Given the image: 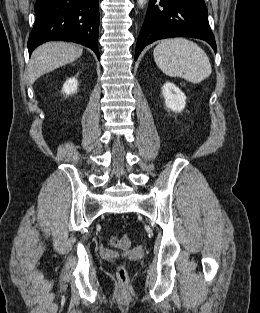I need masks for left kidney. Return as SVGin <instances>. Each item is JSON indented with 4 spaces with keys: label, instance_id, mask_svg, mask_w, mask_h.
<instances>
[{
    "label": "left kidney",
    "instance_id": "obj_1",
    "mask_svg": "<svg viewBox=\"0 0 260 313\" xmlns=\"http://www.w3.org/2000/svg\"><path fill=\"white\" fill-rule=\"evenodd\" d=\"M166 107L174 112H181L186 105V96L173 83L166 82L162 87Z\"/></svg>",
    "mask_w": 260,
    "mask_h": 313
}]
</instances>
